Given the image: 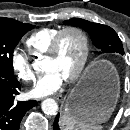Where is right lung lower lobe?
Segmentation results:
<instances>
[{"label":"right lung lower lobe","instance_id":"right-lung-lower-lobe-1","mask_svg":"<svg viewBox=\"0 0 130 130\" xmlns=\"http://www.w3.org/2000/svg\"><path fill=\"white\" fill-rule=\"evenodd\" d=\"M21 90L18 80L0 74V130H19L25 113L37 105V101H16Z\"/></svg>","mask_w":130,"mask_h":130}]
</instances>
